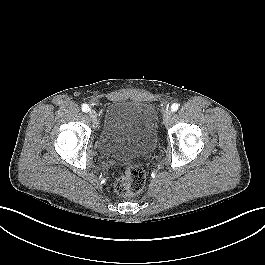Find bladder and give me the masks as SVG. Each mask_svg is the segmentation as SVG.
Listing matches in <instances>:
<instances>
[{
    "instance_id": "bladder-1",
    "label": "bladder",
    "mask_w": 265,
    "mask_h": 265,
    "mask_svg": "<svg viewBox=\"0 0 265 265\" xmlns=\"http://www.w3.org/2000/svg\"><path fill=\"white\" fill-rule=\"evenodd\" d=\"M158 113L148 102L120 100L106 110L97 146L106 156L132 159L150 153L157 143Z\"/></svg>"
}]
</instances>
